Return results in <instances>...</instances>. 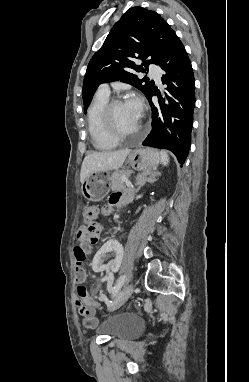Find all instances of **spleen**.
I'll return each mask as SVG.
<instances>
[{
	"label": "spleen",
	"instance_id": "obj_1",
	"mask_svg": "<svg viewBox=\"0 0 249 382\" xmlns=\"http://www.w3.org/2000/svg\"><path fill=\"white\" fill-rule=\"evenodd\" d=\"M160 156H161V163L164 165V166H167L169 164V155L167 153V151L165 150H162L160 152Z\"/></svg>",
	"mask_w": 249,
	"mask_h": 382
}]
</instances>
